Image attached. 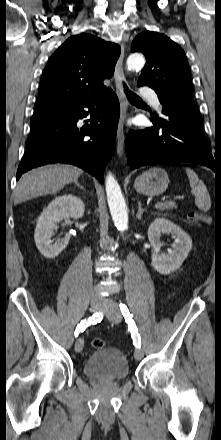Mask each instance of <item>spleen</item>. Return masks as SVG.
Segmentation results:
<instances>
[{
  "instance_id": "1",
  "label": "spleen",
  "mask_w": 221,
  "mask_h": 440,
  "mask_svg": "<svg viewBox=\"0 0 221 440\" xmlns=\"http://www.w3.org/2000/svg\"><path fill=\"white\" fill-rule=\"evenodd\" d=\"M189 179L191 192L195 196V205L201 211H208L211 208V199L207 187L199 180L197 174L190 168L185 169Z\"/></svg>"
}]
</instances>
